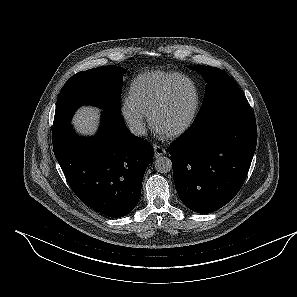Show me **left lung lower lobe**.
<instances>
[{
	"mask_svg": "<svg viewBox=\"0 0 297 297\" xmlns=\"http://www.w3.org/2000/svg\"><path fill=\"white\" fill-rule=\"evenodd\" d=\"M256 143V120L248 103L214 115L205 109L200 122H193L169 147L181 201L197 213L226 205L243 185Z\"/></svg>",
	"mask_w": 297,
	"mask_h": 297,
	"instance_id": "1",
	"label": "left lung lower lobe"
}]
</instances>
